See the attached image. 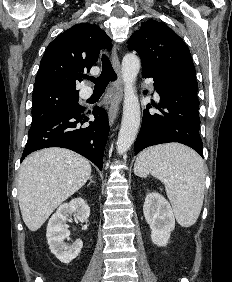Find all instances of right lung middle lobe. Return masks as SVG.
<instances>
[{"mask_svg":"<svg viewBox=\"0 0 232 282\" xmlns=\"http://www.w3.org/2000/svg\"><path fill=\"white\" fill-rule=\"evenodd\" d=\"M78 100L77 92L58 89L33 91L31 126L40 124L60 112L79 110L82 107Z\"/></svg>","mask_w":232,"mask_h":282,"instance_id":"1","label":"right lung middle lobe"}]
</instances>
